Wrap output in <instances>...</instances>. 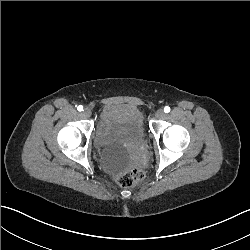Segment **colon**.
Instances as JSON below:
<instances>
[{
    "instance_id": "colon-1",
    "label": "colon",
    "mask_w": 250,
    "mask_h": 250,
    "mask_svg": "<svg viewBox=\"0 0 250 250\" xmlns=\"http://www.w3.org/2000/svg\"><path fill=\"white\" fill-rule=\"evenodd\" d=\"M146 178V172L139 167L116 173L117 184L124 189L131 188L133 185H142L146 181Z\"/></svg>"
}]
</instances>
